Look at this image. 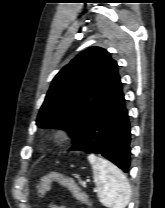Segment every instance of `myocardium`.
Masks as SVG:
<instances>
[{"instance_id":"1","label":"myocardium","mask_w":165,"mask_h":208,"mask_svg":"<svg viewBox=\"0 0 165 208\" xmlns=\"http://www.w3.org/2000/svg\"><path fill=\"white\" fill-rule=\"evenodd\" d=\"M71 135L67 129L56 128L49 134V140L53 144H62L70 139Z\"/></svg>"}]
</instances>
